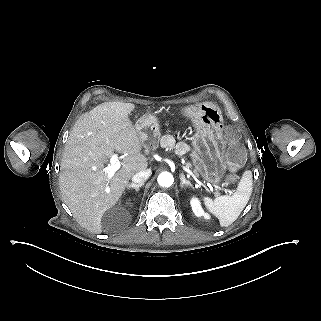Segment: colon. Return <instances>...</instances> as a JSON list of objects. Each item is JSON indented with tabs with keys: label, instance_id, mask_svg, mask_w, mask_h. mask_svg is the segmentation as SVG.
Returning <instances> with one entry per match:
<instances>
[{
	"label": "colon",
	"instance_id": "colon-1",
	"mask_svg": "<svg viewBox=\"0 0 321 321\" xmlns=\"http://www.w3.org/2000/svg\"><path fill=\"white\" fill-rule=\"evenodd\" d=\"M227 142L225 158L231 165L236 166L243 160V150L237 143V133L233 128L228 130Z\"/></svg>",
	"mask_w": 321,
	"mask_h": 321
}]
</instances>
